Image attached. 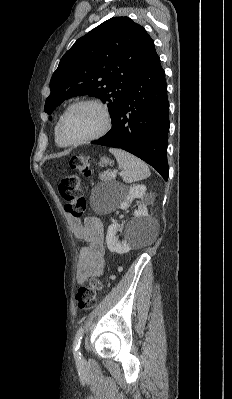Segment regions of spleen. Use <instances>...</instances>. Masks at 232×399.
<instances>
[{
  "label": "spleen",
  "instance_id": "spleen-1",
  "mask_svg": "<svg viewBox=\"0 0 232 399\" xmlns=\"http://www.w3.org/2000/svg\"><path fill=\"white\" fill-rule=\"evenodd\" d=\"M109 152L115 156L119 168L124 170L122 178L126 184H132V182H139V180L149 178L151 172L147 164H144L142 160H138L132 154L124 152V150H116V148H110Z\"/></svg>",
  "mask_w": 232,
  "mask_h": 399
}]
</instances>
